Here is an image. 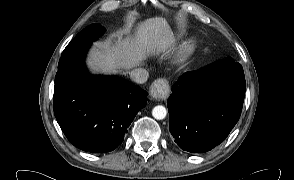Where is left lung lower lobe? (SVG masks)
I'll return each instance as SVG.
<instances>
[{
	"label": "left lung lower lobe",
	"mask_w": 294,
	"mask_h": 180,
	"mask_svg": "<svg viewBox=\"0 0 294 180\" xmlns=\"http://www.w3.org/2000/svg\"><path fill=\"white\" fill-rule=\"evenodd\" d=\"M245 87L243 68L230 57L183 74L167 102L177 145L203 153L223 142L239 120Z\"/></svg>",
	"instance_id": "obj_1"
}]
</instances>
